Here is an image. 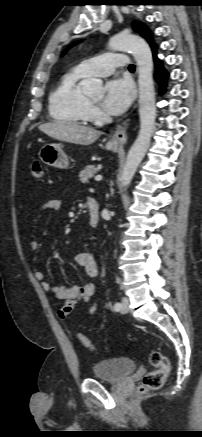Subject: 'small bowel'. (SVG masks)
Masks as SVG:
<instances>
[{"label":"small bowel","mask_w":202,"mask_h":437,"mask_svg":"<svg viewBox=\"0 0 202 437\" xmlns=\"http://www.w3.org/2000/svg\"><path fill=\"white\" fill-rule=\"evenodd\" d=\"M62 202L60 200H49L42 205V210L57 211L61 208ZM30 247L33 251L38 250L39 242L32 240ZM75 263L82 268L85 275L89 278H94L98 275V264L93 256L88 253H78L75 258ZM34 277L41 283V287L46 292H51L58 302V315L61 319L65 320L71 312L74 310L75 305L79 301L85 303L90 302L92 296L95 294L96 286L92 281H87L83 285L72 286H53L45 280V275L41 271H36ZM98 309V303L95 301L90 306L89 312L91 315H95Z\"/></svg>","instance_id":"obj_1"}]
</instances>
